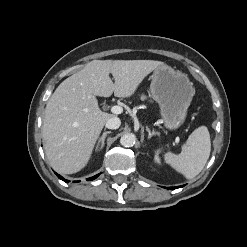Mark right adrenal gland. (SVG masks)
I'll use <instances>...</instances> for the list:
<instances>
[{
	"mask_svg": "<svg viewBox=\"0 0 247 247\" xmlns=\"http://www.w3.org/2000/svg\"><path fill=\"white\" fill-rule=\"evenodd\" d=\"M111 131H106L103 133V135L101 136V138L98 140L97 146H96V150H100L103 148L104 146V142H105V138L107 136V134H110Z\"/></svg>",
	"mask_w": 247,
	"mask_h": 247,
	"instance_id": "obj_1",
	"label": "right adrenal gland"
}]
</instances>
